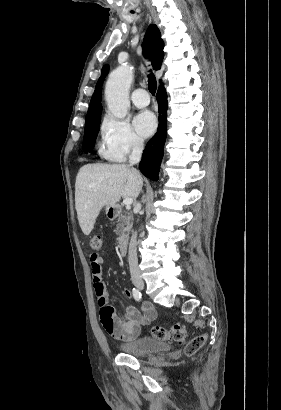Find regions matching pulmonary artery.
<instances>
[{
    "label": "pulmonary artery",
    "mask_w": 281,
    "mask_h": 410,
    "mask_svg": "<svg viewBox=\"0 0 281 410\" xmlns=\"http://www.w3.org/2000/svg\"><path fill=\"white\" fill-rule=\"evenodd\" d=\"M132 102L138 108H143L149 105L150 97L146 90L139 88L132 93Z\"/></svg>",
    "instance_id": "1"
}]
</instances>
